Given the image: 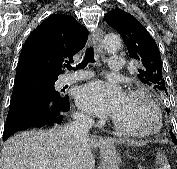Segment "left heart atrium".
<instances>
[{"mask_svg":"<svg viewBox=\"0 0 177 169\" xmlns=\"http://www.w3.org/2000/svg\"><path fill=\"white\" fill-rule=\"evenodd\" d=\"M121 87L111 81L95 80L80 86L75 93L79 108L101 117H113L124 100Z\"/></svg>","mask_w":177,"mask_h":169,"instance_id":"left-heart-atrium-1","label":"left heart atrium"}]
</instances>
